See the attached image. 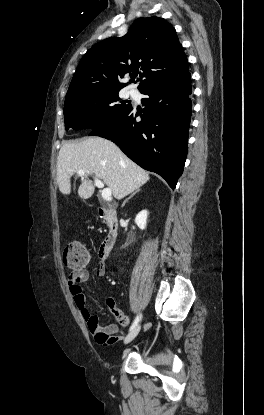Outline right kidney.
<instances>
[{
	"label": "right kidney",
	"instance_id": "ca27d5eb",
	"mask_svg": "<svg viewBox=\"0 0 264 415\" xmlns=\"http://www.w3.org/2000/svg\"><path fill=\"white\" fill-rule=\"evenodd\" d=\"M147 216H148L147 210H142L141 212L137 214L135 218V223L141 230H144L146 228Z\"/></svg>",
	"mask_w": 264,
	"mask_h": 415
}]
</instances>
